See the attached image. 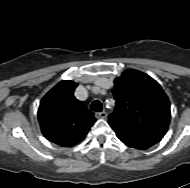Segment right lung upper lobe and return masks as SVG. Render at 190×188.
<instances>
[{"instance_id": "1", "label": "right lung upper lobe", "mask_w": 190, "mask_h": 188, "mask_svg": "<svg viewBox=\"0 0 190 188\" xmlns=\"http://www.w3.org/2000/svg\"><path fill=\"white\" fill-rule=\"evenodd\" d=\"M77 85L69 80L59 82L43 97L38 109L43 135L62 147L80 142L96 121L86 104L74 97Z\"/></svg>"}]
</instances>
